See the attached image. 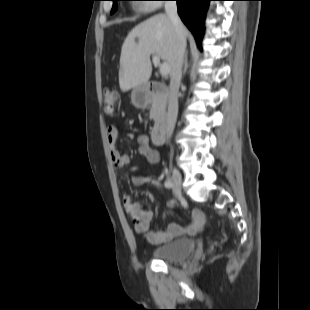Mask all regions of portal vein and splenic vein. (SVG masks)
Returning <instances> with one entry per match:
<instances>
[{
	"label": "portal vein and splenic vein",
	"mask_w": 310,
	"mask_h": 310,
	"mask_svg": "<svg viewBox=\"0 0 310 310\" xmlns=\"http://www.w3.org/2000/svg\"><path fill=\"white\" fill-rule=\"evenodd\" d=\"M152 60L155 65L160 64V58L157 55H154ZM169 71H170V68L167 63H163L162 65H160V74L162 76L168 75Z\"/></svg>",
	"instance_id": "obj_1"
}]
</instances>
